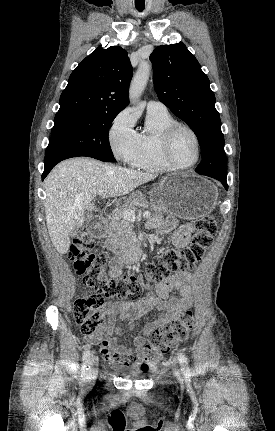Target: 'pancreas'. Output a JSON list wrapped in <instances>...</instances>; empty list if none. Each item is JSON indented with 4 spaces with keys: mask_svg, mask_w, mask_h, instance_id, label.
<instances>
[{
    "mask_svg": "<svg viewBox=\"0 0 275 431\" xmlns=\"http://www.w3.org/2000/svg\"><path fill=\"white\" fill-rule=\"evenodd\" d=\"M151 202L153 201L151 200ZM146 204H149L147 197L142 192L137 191L129 197L125 204L119 206L113 212L106 225L107 235L105 246L108 250L116 252L132 240V224L122 216L123 211Z\"/></svg>",
    "mask_w": 275,
    "mask_h": 431,
    "instance_id": "obj_1",
    "label": "pancreas"
}]
</instances>
